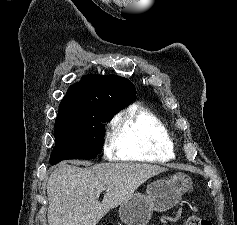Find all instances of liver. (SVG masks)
Wrapping results in <instances>:
<instances>
[{"label": "liver", "mask_w": 237, "mask_h": 225, "mask_svg": "<svg viewBox=\"0 0 237 225\" xmlns=\"http://www.w3.org/2000/svg\"><path fill=\"white\" fill-rule=\"evenodd\" d=\"M166 168L140 163H102L81 168L62 162L47 182L48 225H96ZM106 193L100 203L97 188Z\"/></svg>", "instance_id": "1"}]
</instances>
